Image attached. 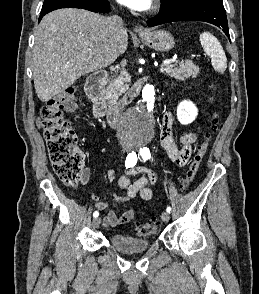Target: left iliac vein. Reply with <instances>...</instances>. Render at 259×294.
<instances>
[{
  "label": "left iliac vein",
  "mask_w": 259,
  "mask_h": 294,
  "mask_svg": "<svg viewBox=\"0 0 259 294\" xmlns=\"http://www.w3.org/2000/svg\"><path fill=\"white\" fill-rule=\"evenodd\" d=\"M161 219L163 222L168 223L170 220L169 212H167V211L162 212Z\"/></svg>",
  "instance_id": "1"
}]
</instances>
